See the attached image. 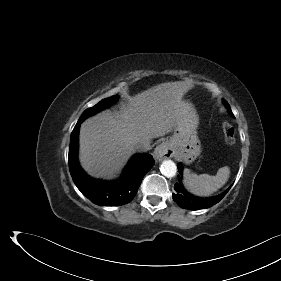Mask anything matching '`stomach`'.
Wrapping results in <instances>:
<instances>
[{"label":"stomach","instance_id":"0dacf381","mask_svg":"<svg viewBox=\"0 0 281 281\" xmlns=\"http://www.w3.org/2000/svg\"><path fill=\"white\" fill-rule=\"evenodd\" d=\"M188 110L183 120L175 127L173 135L167 141L173 154L185 162L192 163L201 153V144L197 136L198 115L191 104L185 102Z\"/></svg>","mask_w":281,"mask_h":281}]
</instances>
